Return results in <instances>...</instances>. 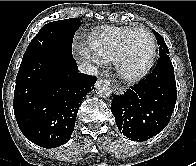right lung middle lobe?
<instances>
[{"label":"right lung middle lobe","instance_id":"dd1d6c3e","mask_svg":"<svg viewBox=\"0 0 196 166\" xmlns=\"http://www.w3.org/2000/svg\"><path fill=\"white\" fill-rule=\"evenodd\" d=\"M80 25L78 18L53 21L44 25L32 39L23 58L48 51L72 56L73 37Z\"/></svg>","mask_w":196,"mask_h":166}]
</instances>
